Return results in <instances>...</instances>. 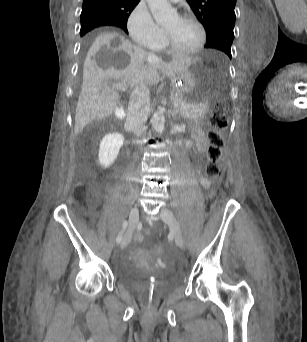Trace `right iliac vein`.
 <instances>
[{
  "mask_svg": "<svg viewBox=\"0 0 307 342\" xmlns=\"http://www.w3.org/2000/svg\"><path fill=\"white\" fill-rule=\"evenodd\" d=\"M139 221V210H138V206L135 205L132 207L130 214H129V226L127 229V232L121 242V248H123L124 246H126L129 241L132 238L133 232L137 227Z\"/></svg>",
  "mask_w": 307,
  "mask_h": 342,
  "instance_id": "obj_1",
  "label": "right iliac vein"
}]
</instances>
